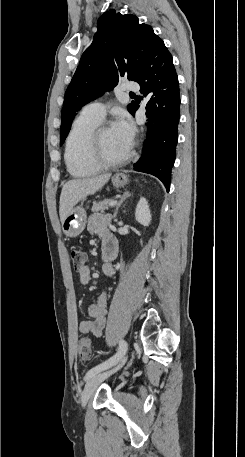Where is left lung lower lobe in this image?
Here are the masks:
<instances>
[{"label":"left lung lower lobe","mask_w":245,"mask_h":457,"mask_svg":"<svg viewBox=\"0 0 245 457\" xmlns=\"http://www.w3.org/2000/svg\"><path fill=\"white\" fill-rule=\"evenodd\" d=\"M136 82L143 96H148L149 122L142 156L133 167L158 177L169 191L178 143L180 91L173 58L164 43L151 53ZM138 108L134 102L129 112L134 116Z\"/></svg>","instance_id":"obj_1"}]
</instances>
